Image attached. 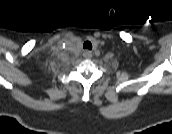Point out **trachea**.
Returning <instances> with one entry per match:
<instances>
[{
  "label": "trachea",
  "mask_w": 172,
  "mask_h": 134,
  "mask_svg": "<svg viewBox=\"0 0 172 134\" xmlns=\"http://www.w3.org/2000/svg\"><path fill=\"white\" fill-rule=\"evenodd\" d=\"M84 49L92 50V43L90 41H86L83 44Z\"/></svg>",
  "instance_id": "1"
}]
</instances>
